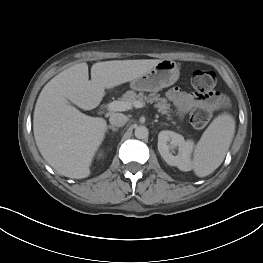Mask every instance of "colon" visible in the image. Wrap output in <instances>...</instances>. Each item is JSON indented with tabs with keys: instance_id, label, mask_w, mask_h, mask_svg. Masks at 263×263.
Returning a JSON list of instances; mask_svg holds the SVG:
<instances>
[{
	"instance_id": "1",
	"label": "colon",
	"mask_w": 263,
	"mask_h": 263,
	"mask_svg": "<svg viewBox=\"0 0 263 263\" xmlns=\"http://www.w3.org/2000/svg\"><path fill=\"white\" fill-rule=\"evenodd\" d=\"M216 74L210 70H196L191 75V84L196 92L202 98L211 99V105H201L193 108L189 115L190 123L193 127L204 128L212 117V108L217 105L214 96Z\"/></svg>"
}]
</instances>
